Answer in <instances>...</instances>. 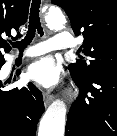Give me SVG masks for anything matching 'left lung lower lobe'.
<instances>
[{
	"label": "left lung lower lobe",
	"mask_w": 117,
	"mask_h": 136,
	"mask_svg": "<svg viewBox=\"0 0 117 136\" xmlns=\"http://www.w3.org/2000/svg\"><path fill=\"white\" fill-rule=\"evenodd\" d=\"M74 80L80 96L68 113L65 136H117V69Z\"/></svg>",
	"instance_id": "obj_1"
}]
</instances>
